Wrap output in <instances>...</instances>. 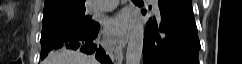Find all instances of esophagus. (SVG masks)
<instances>
[{"mask_svg": "<svg viewBox=\"0 0 242 64\" xmlns=\"http://www.w3.org/2000/svg\"><path fill=\"white\" fill-rule=\"evenodd\" d=\"M130 38V31H128L123 37L118 39V44L121 48H124Z\"/></svg>", "mask_w": 242, "mask_h": 64, "instance_id": "esophagus-1", "label": "esophagus"}]
</instances>
